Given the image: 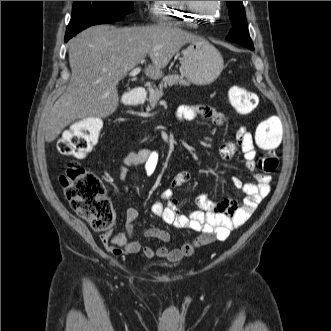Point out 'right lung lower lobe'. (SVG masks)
Returning <instances> with one entry per match:
<instances>
[{
    "instance_id": "right-lung-lower-lobe-1",
    "label": "right lung lower lobe",
    "mask_w": 331,
    "mask_h": 331,
    "mask_svg": "<svg viewBox=\"0 0 331 331\" xmlns=\"http://www.w3.org/2000/svg\"><path fill=\"white\" fill-rule=\"evenodd\" d=\"M70 38L69 37H65V41H68Z\"/></svg>"
}]
</instances>
